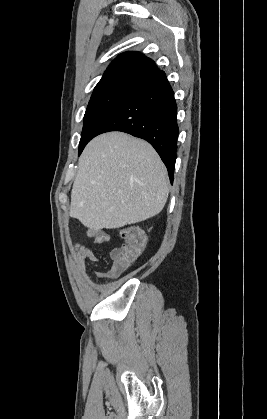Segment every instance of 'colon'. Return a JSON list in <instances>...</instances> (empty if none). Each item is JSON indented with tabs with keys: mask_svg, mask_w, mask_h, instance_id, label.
Returning a JSON list of instances; mask_svg holds the SVG:
<instances>
[{
	"mask_svg": "<svg viewBox=\"0 0 267 419\" xmlns=\"http://www.w3.org/2000/svg\"><path fill=\"white\" fill-rule=\"evenodd\" d=\"M120 236L123 244L111 252L112 269L118 273L126 270L143 252L145 236L137 225L124 227Z\"/></svg>",
	"mask_w": 267,
	"mask_h": 419,
	"instance_id": "5ec220e1",
	"label": "colon"
}]
</instances>
